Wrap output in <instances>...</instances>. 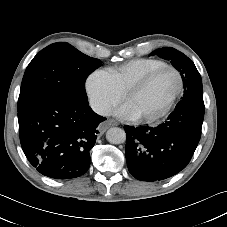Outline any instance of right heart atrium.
<instances>
[{
	"instance_id": "d8ad5b80",
	"label": "right heart atrium",
	"mask_w": 227,
	"mask_h": 227,
	"mask_svg": "<svg viewBox=\"0 0 227 227\" xmlns=\"http://www.w3.org/2000/svg\"><path fill=\"white\" fill-rule=\"evenodd\" d=\"M87 96L99 114L108 113L121 99V93L105 70L91 73L85 81Z\"/></svg>"
}]
</instances>
